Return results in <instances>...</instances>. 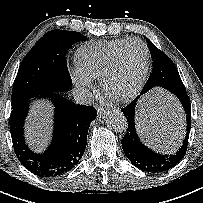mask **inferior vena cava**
Listing matches in <instances>:
<instances>
[{"instance_id":"inferior-vena-cava-1","label":"inferior vena cava","mask_w":203,"mask_h":203,"mask_svg":"<svg viewBox=\"0 0 203 203\" xmlns=\"http://www.w3.org/2000/svg\"><path fill=\"white\" fill-rule=\"evenodd\" d=\"M74 100L83 105H90L93 101L92 93L85 88L79 87L73 91Z\"/></svg>"}]
</instances>
